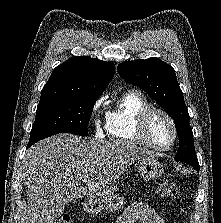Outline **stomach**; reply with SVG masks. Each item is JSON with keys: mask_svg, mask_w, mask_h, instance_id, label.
Here are the masks:
<instances>
[{"mask_svg": "<svg viewBox=\"0 0 221 223\" xmlns=\"http://www.w3.org/2000/svg\"><path fill=\"white\" fill-rule=\"evenodd\" d=\"M162 173L163 167L154 157L141 158L139 160V174L145 180H156ZM116 192L117 187L110 186L109 188L90 196L85 204V209L91 214L99 212L115 197Z\"/></svg>", "mask_w": 221, "mask_h": 223, "instance_id": "1", "label": "stomach"}]
</instances>
